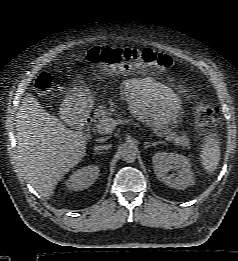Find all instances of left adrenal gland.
Returning <instances> with one entry per match:
<instances>
[{
	"instance_id": "1",
	"label": "left adrenal gland",
	"mask_w": 238,
	"mask_h": 261,
	"mask_svg": "<svg viewBox=\"0 0 238 261\" xmlns=\"http://www.w3.org/2000/svg\"><path fill=\"white\" fill-rule=\"evenodd\" d=\"M162 143H163L162 141H156V142H152V143H145V144H144V148H145V149H148V148L151 147V146H156V145L162 144Z\"/></svg>"
}]
</instances>
